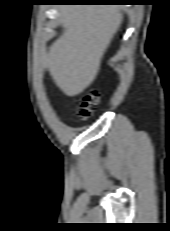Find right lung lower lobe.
Masks as SVG:
<instances>
[{"instance_id": "98d812e1", "label": "right lung lower lobe", "mask_w": 170, "mask_h": 231, "mask_svg": "<svg viewBox=\"0 0 170 231\" xmlns=\"http://www.w3.org/2000/svg\"><path fill=\"white\" fill-rule=\"evenodd\" d=\"M124 0H53L58 3H119Z\"/></svg>"}]
</instances>
